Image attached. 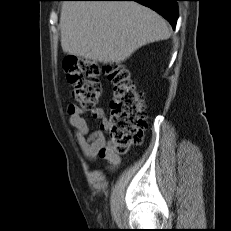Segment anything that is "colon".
I'll use <instances>...</instances> for the list:
<instances>
[{
  "label": "colon",
  "instance_id": "5ec220e1",
  "mask_svg": "<svg viewBox=\"0 0 231 231\" xmlns=\"http://www.w3.org/2000/svg\"><path fill=\"white\" fill-rule=\"evenodd\" d=\"M63 68L73 84L75 100L82 108L94 107L101 97L99 66L87 59L67 56ZM106 73L114 87L110 103V138L115 149L122 153L143 138L147 126L145 102L125 66L108 65Z\"/></svg>",
  "mask_w": 231,
  "mask_h": 231
}]
</instances>
